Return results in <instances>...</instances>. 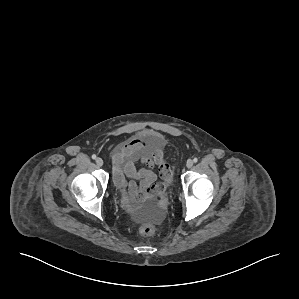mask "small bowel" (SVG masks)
I'll return each mask as SVG.
<instances>
[{
    "mask_svg": "<svg viewBox=\"0 0 299 299\" xmlns=\"http://www.w3.org/2000/svg\"><path fill=\"white\" fill-rule=\"evenodd\" d=\"M153 136L151 132H145L140 137L122 142L113 150V181L122 191L124 201L130 209L137 208L148 199L160 196L171 178V169L163 153L157 148L147 150L145 147V139ZM139 163L148 168L138 169ZM150 168L158 169L160 181Z\"/></svg>",
    "mask_w": 299,
    "mask_h": 299,
    "instance_id": "1",
    "label": "small bowel"
}]
</instances>
